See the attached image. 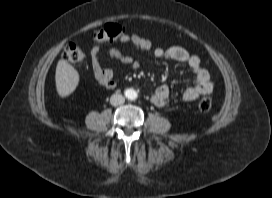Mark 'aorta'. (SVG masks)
I'll use <instances>...</instances> for the list:
<instances>
[{
  "instance_id": "762f6f07",
  "label": "aorta",
  "mask_w": 272,
  "mask_h": 198,
  "mask_svg": "<svg viewBox=\"0 0 272 198\" xmlns=\"http://www.w3.org/2000/svg\"><path fill=\"white\" fill-rule=\"evenodd\" d=\"M125 95L129 100H134L137 98V92L134 89H127Z\"/></svg>"
}]
</instances>
